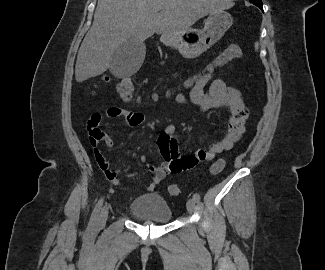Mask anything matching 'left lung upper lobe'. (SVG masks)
Here are the masks:
<instances>
[{"label": "left lung upper lobe", "mask_w": 325, "mask_h": 270, "mask_svg": "<svg viewBox=\"0 0 325 270\" xmlns=\"http://www.w3.org/2000/svg\"><path fill=\"white\" fill-rule=\"evenodd\" d=\"M251 3L253 4H262V1L261 0H249Z\"/></svg>", "instance_id": "5c2ea615"}]
</instances>
